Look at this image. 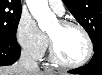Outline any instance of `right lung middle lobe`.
<instances>
[{"label":"right lung middle lobe","instance_id":"obj_1","mask_svg":"<svg viewBox=\"0 0 102 75\" xmlns=\"http://www.w3.org/2000/svg\"><path fill=\"white\" fill-rule=\"evenodd\" d=\"M21 17V6L0 3V40L17 42L16 31Z\"/></svg>","mask_w":102,"mask_h":75}]
</instances>
